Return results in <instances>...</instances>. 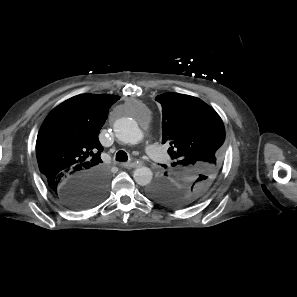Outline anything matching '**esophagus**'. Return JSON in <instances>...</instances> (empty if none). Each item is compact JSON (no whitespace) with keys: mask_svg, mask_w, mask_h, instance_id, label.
Instances as JSON below:
<instances>
[{"mask_svg":"<svg viewBox=\"0 0 297 297\" xmlns=\"http://www.w3.org/2000/svg\"><path fill=\"white\" fill-rule=\"evenodd\" d=\"M125 168H137L139 167V164L136 162H124L121 164Z\"/></svg>","mask_w":297,"mask_h":297,"instance_id":"34e87169","label":"esophagus"}]
</instances>
